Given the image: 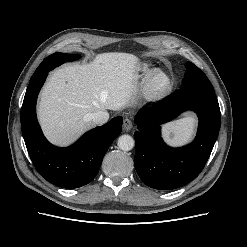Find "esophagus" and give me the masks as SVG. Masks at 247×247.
Here are the masks:
<instances>
[{"label":"esophagus","instance_id":"1","mask_svg":"<svg viewBox=\"0 0 247 247\" xmlns=\"http://www.w3.org/2000/svg\"><path fill=\"white\" fill-rule=\"evenodd\" d=\"M132 127H133V124H132L131 119L125 118V119L123 120V129H124L125 131H129V130L132 129Z\"/></svg>","mask_w":247,"mask_h":247}]
</instances>
